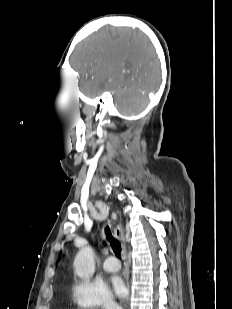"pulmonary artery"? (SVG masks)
<instances>
[{
  "instance_id": "e3ab8cb5",
  "label": "pulmonary artery",
  "mask_w": 232,
  "mask_h": 309,
  "mask_svg": "<svg viewBox=\"0 0 232 309\" xmlns=\"http://www.w3.org/2000/svg\"><path fill=\"white\" fill-rule=\"evenodd\" d=\"M102 267L107 272H116L119 270L120 264L114 257L110 256L103 261Z\"/></svg>"
}]
</instances>
